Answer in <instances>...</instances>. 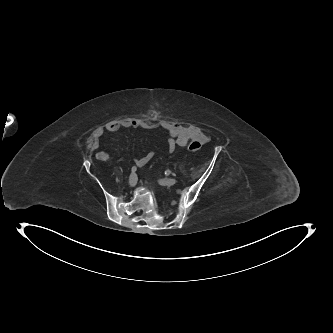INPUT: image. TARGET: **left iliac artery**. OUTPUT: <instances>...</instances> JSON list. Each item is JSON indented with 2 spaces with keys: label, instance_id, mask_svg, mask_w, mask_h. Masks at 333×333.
Instances as JSON below:
<instances>
[{
  "label": "left iliac artery",
  "instance_id": "44dca946",
  "mask_svg": "<svg viewBox=\"0 0 333 333\" xmlns=\"http://www.w3.org/2000/svg\"><path fill=\"white\" fill-rule=\"evenodd\" d=\"M170 171L169 170H167V171H165V175H170Z\"/></svg>",
  "mask_w": 333,
  "mask_h": 333
}]
</instances>
